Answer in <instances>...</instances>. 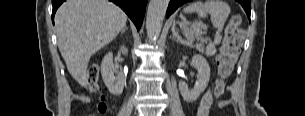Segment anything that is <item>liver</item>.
<instances>
[{
	"instance_id": "obj_1",
	"label": "liver",
	"mask_w": 305,
	"mask_h": 116,
	"mask_svg": "<svg viewBox=\"0 0 305 116\" xmlns=\"http://www.w3.org/2000/svg\"><path fill=\"white\" fill-rule=\"evenodd\" d=\"M127 15L108 0H67L57 10L58 47L71 76L87 85L92 55L126 26Z\"/></svg>"
}]
</instances>
